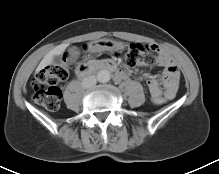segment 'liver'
Returning a JSON list of instances; mask_svg holds the SVG:
<instances>
[{
    "instance_id": "liver-1",
    "label": "liver",
    "mask_w": 219,
    "mask_h": 174,
    "mask_svg": "<svg viewBox=\"0 0 219 174\" xmlns=\"http://www.w3.org/2000/svg\"><path fill=\"white\" fill-rule=\"evenodd\" d=\"M66 47H67V44H62V45H59V46L55 47L54 49H52L42 59V61L40 62V64L37 67V71H39V70L43 69L45 66H47L54 55L62 54L64 52V50L66 49Z\"/></svg>"
}]
</instances>
